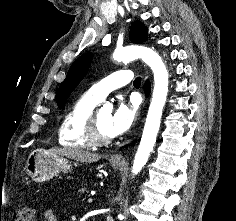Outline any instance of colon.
I'll return each mask as SVG.
<instances>
[{
    "mask_svg": "<svg viewBox=\"0 0 236 221\" xmlns=\"http://www.w3.org/2000/svg\"><path fill=\"white\" fill-rule=\"evenodd\" d=\"M14 221H34V210L27 205L18 207L14 213Z\"/></svg>",
    "mask_w": 236,
    "mask_h": 221,
    "instance_id": "5ec220e1",
    "label": "colon"
}]
</instances>
